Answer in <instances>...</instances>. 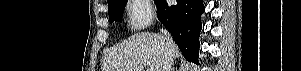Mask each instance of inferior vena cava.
Returning a JSON list of instances; mask_svg holds the SVG:
<instances>
[{"label": "inferior vena cava", "mask_w": 301, "mask_h": 71, "mask_svg": "<svg viewBox=\"0 0 301 71\" xmlns=\"http://www.w3.org/2000/svg\"><path fill=\"white\" fill-rule=\"evenodd\" d=\"M160 32L164 36V39L166 41V46H167V49L164 54L161 71H171V68L173 65V56H172V51H171V46L173 44V40H172L170 33L167 30L161 29Z\"/></svg>", "instance_id": "1"}]
</instances>
